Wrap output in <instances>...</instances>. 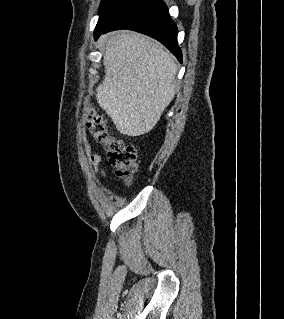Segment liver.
<instances>
[{
    "label": "liver",
    "instance_id": "liver-1",
    "mask_svg": "<svg viewBox=\"0 0 284 319\" xmlns=\"http://www.w3.org/2000/svg\"><path fill=\"white\" fill-rule=\"evenodd\" d=\"M102 40L105 76L96 88L97 102L121 134L148 133L174 98V57L156 40L136 32L111 33Z\"/></svg>",
    "mask_w": 284,
    "mask_h": 319
}]
</instances>
